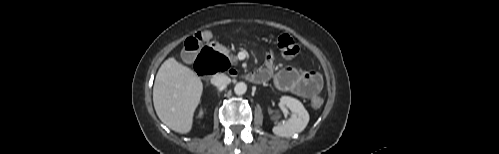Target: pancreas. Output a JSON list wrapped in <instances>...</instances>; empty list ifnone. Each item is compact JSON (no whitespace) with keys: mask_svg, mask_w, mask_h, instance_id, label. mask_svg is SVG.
I'll list each match as a JSON object with an SVG mask.
<instances>
[{"mask_svg":"<svg viewBox=\"0 0 499 154\" xmlns=\"http://www.w3.org/2000/svg\"><path fill=\"white\" fill-rule=\"evenodd\" d=\"M222 52H223L225 55H227L231 61L235 62L236 57H235V56H233V55H229V52H230V51H229L227 48L223 47V48H222Z\"/></svg>","mask_w":499,"mask_h":154,"instance_id":"pancreas-1","label":"pancreas"}]
</instances>
